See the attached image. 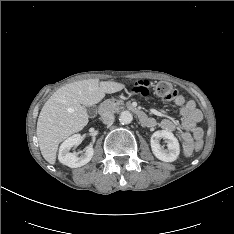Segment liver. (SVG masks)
Listing matches in <instances>:
<instances>
[{"mask_svg": "<svg viewBox=\"0 0 234 234\" xmlns=\"http://www.w3.org/2000/svg\"><path fill=\"white\" fill-rule=\"evenodd\" d=\"M124 84L87 79L57 90L44 104L37 121V138L44 159L55 164L60 142L81 131L89 121L85 107L99 103L105 94L122 90Z\"/></svg>", "mask_w": 234, "mask_h": 234, "instance_id": "liver-1", "label": "liver"}]
</instances>
